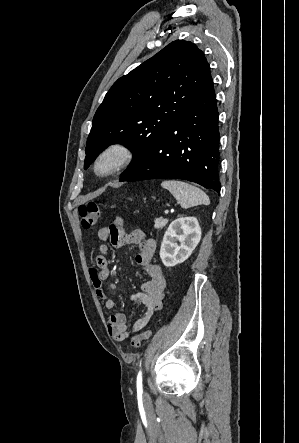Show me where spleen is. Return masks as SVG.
I'll return each mask as SVG.
<instances>
[{
	"label": "spleen",
	"instance_id": "3e777b00",
	"mask_svg": "<svg viewBox=\"0 0 299 443\" xmlns=\"http://www.w3.org/2000/svg\"><path fill=\"white\" fill-rule=\"evenodd\" d=\"M161 186L174 196L181 207L187 209L198 205H209V197L201 189L177 180H165Z\"/></svg>",
	"mask_w": 299,
	"mask_h": 443
}]
</instances>
